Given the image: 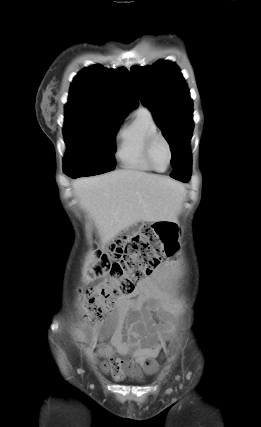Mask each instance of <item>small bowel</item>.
<instances>
[{
    "label": "small bowel",
    "instance_id": "1",
    "mask_svg": "<svg viewBox=\"0 0 261 427\" xmlns=\"http://www.w3.org/2000/svg\"><path fill=\"white\" fill-rule=\"evenodd\" d=\"M145 286L146 283L140 284L134 295L141 294ZM131 298L132 296L126 297L119 302L111 345L98 350L99 355L109 358V361L104 365L105 368L113 372L118 378L124 375L123 361L115 357V354L126 355L131 353L136 364L140 365L145 372L153 373L157 368L156 358L164 348L169 335L166 327L158 325L152 319L148 306L133 305ZM131 307H133V312L128 318V340L123 341V323ZM86 336L89 338L90 334L87 333ZM90 340L92 341V339Z\"/></svg>",
    "mask_w": 261,
    "mask_h": 427
}]
</instances>
